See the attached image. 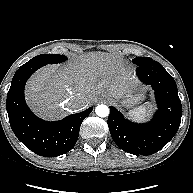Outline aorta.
Returning a JSON list of instances; mask_svg holds the SVG:
<instances>
[{"label":"aorta","mask_w":193,"mask_h":193,"mask_svg":"<svg viewBox=\"0 0 193 193\" xmlns=\"http://www.w3.org/2000/svg\"><path fill=\"white\" fill-rule=\"evenodd\" d=\"M97 116L99 117H107L109 115V108L106 105H98L95 109Z\"/></svg>","instance_id":"762f6f07"}]
</instances>
